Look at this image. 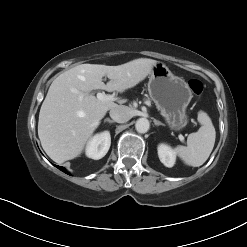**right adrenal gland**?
I'll return each instance as SVG.
<instances>
[{
	"instance_id": "2a0ac1e0",
	"label": "right adrenal gland",
	"mask_w": 247,
	"mask_h": 247,
	"mask_svg": "<svg viewBox=\"0 0 247 247\" xmlns=\"http://www.w3.org/2000/svg\"><path fill=\"white\" fill-rule=\"evenodd\" d=\"M105 122H108V123H110V124L114 123V121L111 120V119H109V118H106V119L104 120V123H105Z\"/></svg>"
}]
</instances>
